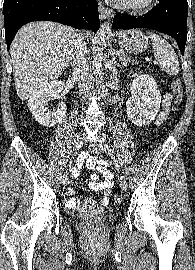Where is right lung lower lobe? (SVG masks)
<instances>
[{"mask_svg": "<svg viewBox=\"0 0 195 270\" xmlns=\"http://www.w3.org/2000/svg\"><path fill=\"white\" fill-rule=\"evenodd\" d=\"M3 12L8 50L18 29L32 21H55L93 31L100 27L94 0H4Z\"/></svg>", "mask_w": 195, "mask_h": 270, "instance_id": "98d812e1", "label": "right lung lower lobe"}]
</instances>
